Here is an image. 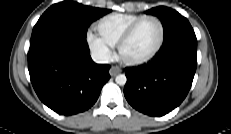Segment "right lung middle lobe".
<instances>
[{"mask_svg":"<svg viewBox=\"0 0 231 134\" xmlns=\"http://www.w3.org/2000/svg\"><path fill=\"white\" fill-rule=\"evenodd\" d=\"M110 11L84 6L69 0L54 4L39 18L31 38L50 28L62 29L85 38L89 25Z\"/></svg>","mask_w":231,"mask_h":134,"instance_id":"dd1d6c3e","label":"right lung middle lobe"}]
</instances>
